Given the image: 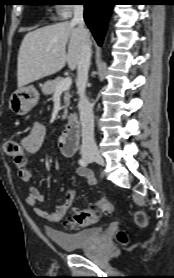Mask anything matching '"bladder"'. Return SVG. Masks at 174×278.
<instances>
[{"instance_id": "obj_1", "label": "bladder", "mask_w": 174, "mask_h": 278, "mask_svg": "<svg viewBox=\"0 0 174 278\" xmlns=\"http://www.w3.org/2000/svg\"><path fill=\"white\" fill-rule=\"evenodd\" d=\"M55 245L64 251H73L88 246L102 235V228L92 227L75 233H66L58 230L48 232Z\"/></svg>"}]
</instances>
